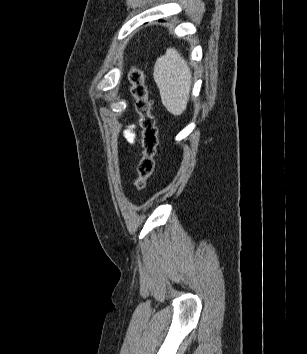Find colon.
Segmentation results:
<instances>
[{
  "label": "colon",
  "instance_id": "obj_1",
  "mask_svg": "<svg viewBox=\"0 0 307 354\" xmlns=\"http://www.w3.org/2000/svg\"><path fill=\"white\" fill-rule=\"evenodd\" d=\"M128 78L142 128L143 155L138 164V177L135 181L136 189L142 191L154 172V158L159 143L158 128L155 116L152 113V101L148 96L143 71L138 66H133Z\"/></svg>",
  "mask_w": 307,
  "mask_h": 354
}]
</instances>
